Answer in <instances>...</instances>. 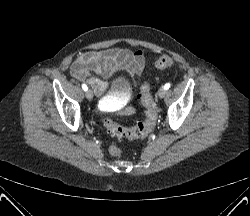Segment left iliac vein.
Returning <instances> with one entry per match:
<instances>
[{"label":"left iliac vein","mask_w":250,"mask_h":216,"mask_svg":"<svg viewBox=\"0 0 250 216\" xmlns=\"http://www.w3.org/2000/svg\"><path fill=\"white\" fill-rule=\"evenodd\" d=\"M166 95V90L164 88H160L158 91L159 98H164Z\"/></svg>","instance_id":"obj_1"}]
</instances>
